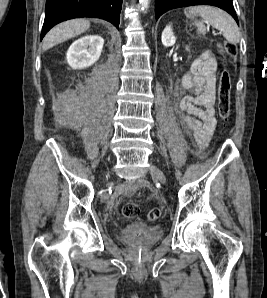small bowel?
Masks as SVG:
<instances>
[{"label":"small bowel","mask_w":267,"mask_h":298,"mask_svg":"<svg viewBox=\"0 0 267 298\" xmlns=\"http://www.w3.org/2000/svg\"><path fill=\"white\" fill-rule=\"evenodd\" d=\"M217 61L209 52L194 60L190 71L181 80L182 90L192 94L183 95L177 103V111L184 129L190 133L198 147L204 149L217 125L216 100ZM134 185V189L142 186Z\"/></svg>","instance_id":"small-bowel-1"}]
</instances>
